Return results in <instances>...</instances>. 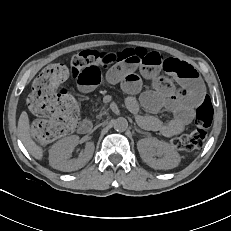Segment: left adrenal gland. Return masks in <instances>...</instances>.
I'll return each mask as SVG.
<instances>
[{
    "mask_svg": "<svg viewBox=\"0 0 231 231\" xmlns=\"http://www.w3.org/2000/svg\"><path fill=\"white\" fill-rule=\"evenodd\" d=\"M135 130H136L138 133L147 134L146 132H143L142 130L138 129L137 127H135Z\"/></svg>",
    "mask_w": 231,
    "mask_h": 231,
    "instance_id": "obj_1",
    "label": "left adrenal gland"
}]
</instances>
